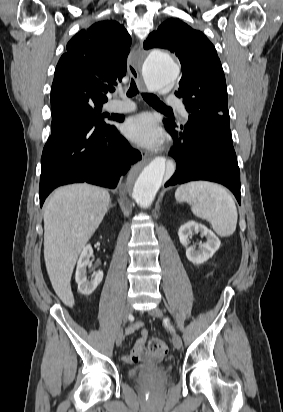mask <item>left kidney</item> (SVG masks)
I'll return each instance as SVG.
<instances>
[{"instance_id":"left-kidney-1","label":"left kidney","mask_w":283,"mask_h":412,"mask_svg":"<svg viewBox=\"0 0 283 412\" xmlns=\"http://www.w3.org/2000/svg\"><path fill=\"white\" fill-rule=\"evenodd\" d=\"M200 232L206 237L207 241L202 244L199 250L189 247V237L193 233ZM180 243L186 247V257L193 264H202L211 258L220 247L219 238L206 226L198 224L194 221H189L182 225L178 230Z\"/></svg>"}]
</instances>
